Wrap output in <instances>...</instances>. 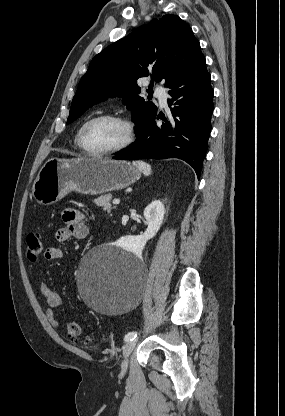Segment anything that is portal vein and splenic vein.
Wrapping results in <instances>:
<instances>
[{"label": "portal vein and splenic vein", "instance_id": "1", "mask_svg": "<svg viewBox=\"0 0 285 416\" xmlns=\"http://www.w3.org/2000/svg\"><path fill=\"white\" fill-rule=\"evenodd\" d=\"M112 204H120V200H113Z\"/></svg>", "mask_w": 285, "mask_h": 416}]
</instances>
